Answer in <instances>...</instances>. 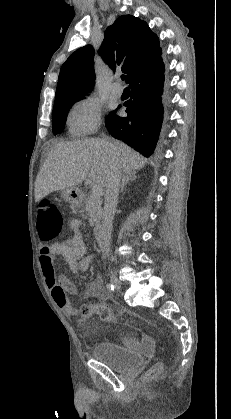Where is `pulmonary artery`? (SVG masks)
<instances>
[{"label": "pulmonary artery", "mask_w": 231, "mask_h": 419, "mask_svg": "<svg viewBox=\"0 0 231 419\" xmlns=\"http://www.w3.org/2000/svg\"><path fill=\"white\" fill-rule=\"evenodd\" d=\"M111 93L115 97H120L123 94V88L122 86L116 82L111 87Z\"/></svg>", "instance_id": "1"}]
</instances>
